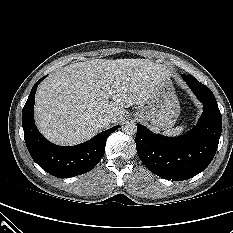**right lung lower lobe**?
Segmentation results:
<instances>
[{"label": "right lung lower lobe", "mask_w": 233, "mask_h": 233, "mask_svg": "<svg viewBox=\"0 0 233 233\" xmlns=\"http://www.w3.org/2000/svg\"><path fill=\"white\" fill-rule=\"evenodd\" d=\"M45 77L35 83L22 111V125L28 151L42 169L55 177L69 178L86 173L100 161L108 136L117 130L119 125L76 146L63 147L52 144L37 130L33 116L36 89Z\"/></svg>", "instance_id": "98d812e1"}]
</instances>
